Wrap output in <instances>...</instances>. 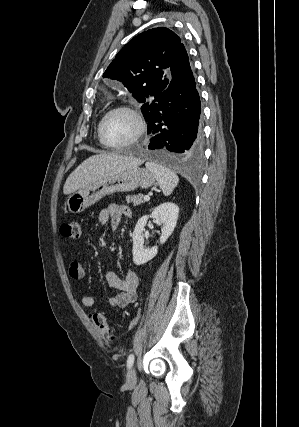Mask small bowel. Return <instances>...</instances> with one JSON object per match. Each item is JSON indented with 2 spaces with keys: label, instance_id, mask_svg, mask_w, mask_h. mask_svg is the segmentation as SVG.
<instances>
[{
  "label": "small bowel",
  "instance_id": "obj_1",
  "mask_svg": "<svg viewBox=\"0 0 299 427\" xmlns=\"http://www.w3.org/2000/svg\"><path fill=\"white\" fill-rule=\"evenodd\" d=\"M131 210L125 205L110 204L107 208L101 210L96 218L97 225H104L111 222L113 228H117L123 217L130 218ZM86 270L85 264L82 261H73L69 266V275L72 279L80 281L85 277ZM109 286L117 289L119 292L107 299V304L113 307L116 312L124 309L129 304L133 303L137 298L138 287L140 283L139 273L136 271H129L124 278H121L115 273H109L106 276ZM82 304L92 310L98 311L94 308V298L89 293H83L81 296Z\"/></svg>",
  "mask_w": 299,
  "mask_h": 427
}]
</instances>
